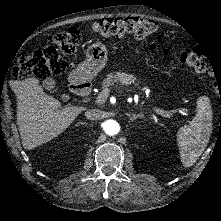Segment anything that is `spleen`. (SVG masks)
Here are the masks:
<instances>
[{
  "instance_id": "spleen-1",
  "label": "spleen",
  "mask_w": 221,
  "mask_h": 221,
  "mask_svg": "<svg viewBox=\"0 0 221 221\" xmlns=\"http://www.w3.org/2000/svg\"><path fill=\"white\" fill-rule=\"evenodd\" d=\"M213 129L212 110L206 97L197 101V113L189 125L179 128L177 142L184 167H191L204 152Z\"/></svg>"
}]
</instances>
